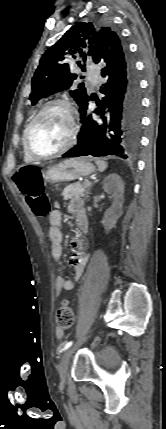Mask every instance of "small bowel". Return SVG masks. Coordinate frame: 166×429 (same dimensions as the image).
I'll use <instances>...</instances> for the list:
<instances>
[{
    "label": "small bowel",
    "mask_w": 166,
    "mask_h": 429,
    "mask_svg": "<svg viewBox=\"0 0 166 429\" xmlns=\"http://www.w3.org/2000/svg\"><path fill=\"white\" fill-rule=\"evenodd\" d=\"M68 210L75 215L76 224L79 229L86 233L88 230V219L82 200L79 198L72 199L69 203ZM60 227L61 213L58 210H54L49 215L48 237L51 242V256L56 262H59L62 256V232ZM70 247L72 251L70 263L74 270V278L68 279L64 275H58L55 281L58 293L62 290L70 291L75 287V281L82 276L88 262V255L83 250L81 239L73 238ZM55 334L57 339H62L64 331L57 328Z\"/></svg>",
    "instance_id": "obj_1"
}]
</instances>
